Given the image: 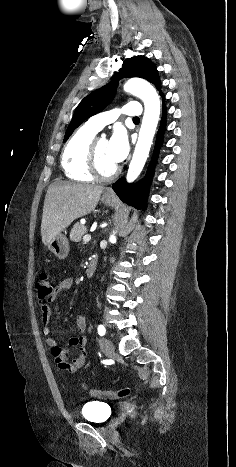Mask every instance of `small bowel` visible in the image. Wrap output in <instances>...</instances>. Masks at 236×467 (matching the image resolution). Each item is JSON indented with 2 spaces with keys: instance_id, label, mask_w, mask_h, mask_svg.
<instances>
[{
  "instance_id": "small-bowel-1",
  "label": "small bowel",
  "mask_w": 236,
  "mask_h": 467,
  "mask_svg": "<svg viewBox=\"0 0 236 467\" xmlns=\"http://www.w3.org/2000/svg\"><path fill=\"white\" fill-rule=\"evenodd\" d=\"M72 285L73 280L71 278H66L60 281L54 287L52 295L49 298V302L56 301L62 293L69 291ZM51 313L49 304L44 303L41 305L42 330L45 335H49L51 333ZM76 326L80 332H85L87 321L84 315L80 314L76 317ZM86 343L87 339L85 336L71 337L68 340V346L76 351V356L70 361L69 350L65 349L58 339L53 337H47L46 339V344L50 348L57 367L62 371L70 373H75L84 366L88 358V351L85 347Z\"/></svg>"
}]
</instances>
